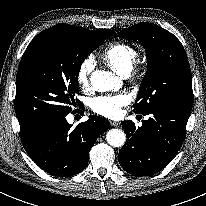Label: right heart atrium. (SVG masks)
Wrapping results in <instances>:
<instances>
[{
    "instance_id": "right-heart-atrium-1",
    "label": "right heart atrium",
    "mask_w": 206,
    "mask_h": 206,
    "mask_svg": "<svg viewBox=\"0 0 206 206\" xmlns=\"http://www.w3.org/2000/svg\"><path fill=\"white\" fill-rule=\"evenodd\" d=\"M94 69L95 61L92 57H86L80 63L76 73V80L82 89H88L90 87V78Z\"/></svg>"
}]
</instances>
